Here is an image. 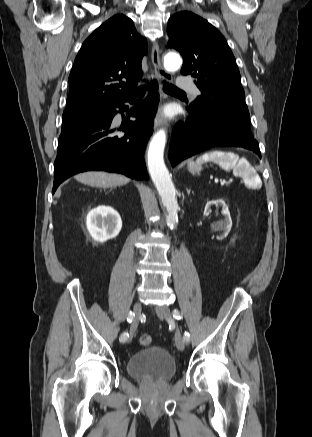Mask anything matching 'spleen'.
I'll return each instance as SVG.
<instances>
[{"label":"spleen","mask_w":312,"mask_h":437,"mask_svg":"<svg viewBox=\"0 0 312 437\" xmlns=\"http://www.w3.org/2000/svg\"><path fill=\"white\" fill-rule=\"evenodd\" d=\"M212 161L218 164L225 171L233 170L236 175L242 176L252 188L261 186V179L255 173L253 168L245 159H239V156L233 152L212 151L203 154L197 159V162Z\"/></svg>","instance_id":"3e777b00"}]
</instances>
